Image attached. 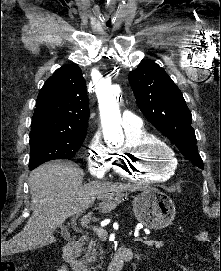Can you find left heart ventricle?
I'll list each match as a JSON object with an SVG mask.
<instances>
[{
  "instance_id": "b2bd125f",
  "label": "left heart ventricle",
  "mask_w": 221,
  "mask_h": 271,
  "mask_svg": "<svg viewBox=\"0 0 221 271\" xmlns=\"http://www.w3.org/2000/svg\"><path fill=\"white\" fill-rule=\"evenodd\" d=\"M154 153H157V152H154ZM156 163H159V161H156Z\"/></svg>"
}]
</instances>
